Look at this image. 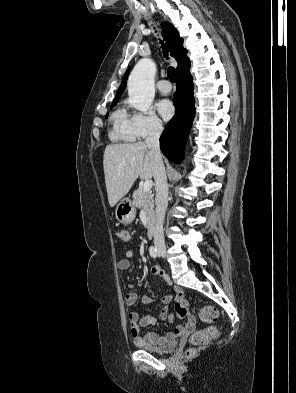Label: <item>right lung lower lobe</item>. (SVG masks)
I'll return each mask as SVG.
<instances>
[{"label": "right lung lower lobe", "instance_id": "right-lung-lower-lobe-1", "mask_svg": "<svg viewBox=\"0 0 296 393\" xmlns=\"http://www.w3.org/2000/svg\"><path fill=\"white\" fill-rule=\"evenodd\" d=\"M177 76V91L173 98L176 114L160 137V148L169 160L180 163L183 156L182 148L185 145L195 115L190 63L183 67L177 73Z\"/></svg>", "mask_w": 296, "mask_h": 393}]
</instances>
